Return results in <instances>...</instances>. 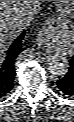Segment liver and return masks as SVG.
Masks as SVG:
<instances>
[{"instance_id":"obj_1","label":"liver","mask_w":74,"mask_h":122,"mask_svg":"<svg viewBox=\"0 0 74 122\" xmlns=\"http://www.w3.org/2000/svg\"><path fill=\"white\" fill-rule=\"evenodd\" d=\"M40 4V1H0V55L1 60L10 43L18 36L21 27V15L28 9Z\"/></svg>"}]
</instances>
